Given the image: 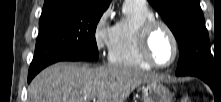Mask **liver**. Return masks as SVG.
<instances>
[{"label": "liver", "instance_id": "6515ba94", "mask_svg": "<svg viewBox=\"0 0 221 102\" xmlns=\"http://www.w3.org/2000/svg\"><path fill=\"white\" fill-rule=\"evenodd\" d=\"M157 77L126 66L89 68L57 63L41 71L28 87V102H125L131 92Z\"/></svg>", "mask_w": 221, "mask_h": 102}]
</instances>
